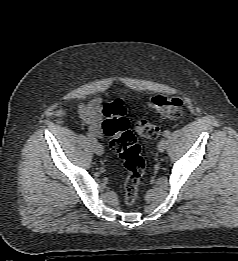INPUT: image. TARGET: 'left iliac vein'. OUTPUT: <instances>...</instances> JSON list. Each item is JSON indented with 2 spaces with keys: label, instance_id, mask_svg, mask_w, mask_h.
Returning a JSON list of instances; mask_svg holds the SVG:
<instances>
[{
  "label": "left iliac vein",
  "instance_id": "4c4485c4",
  "mask_svg": "<svg viewBox=\"0 0 238 261\" xmlns=\"http://www.w3.org/2000/svg\"><path fill=\"white\" fill-rule=\"evenodd\" d=\"M167 147V141L165 139H162L159 141L157 149L160 153L164 152Z\"/></svg>",
  "mask_w": 238,
  "mask_h": 261
}]
</instances>
